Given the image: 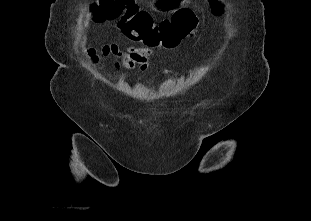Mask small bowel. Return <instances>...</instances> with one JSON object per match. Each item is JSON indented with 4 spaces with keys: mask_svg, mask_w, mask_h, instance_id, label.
<instances>
[{
    "mask_svg": "<svg viewBox=\"0 0 311 221\" xmlns=\"http://www.w3.org/2000/svg\"><path fill=\"white\" fill-rule=\"evenodd\" d=\"M160 10V8H158ZM177 8H175V11ZM108 46H119L116 43H111L105 47L108 51ZM120 59V62H115L116 67H123L131 70L138 66L142 72H146L150 66V59L154 55V50L151 48H136L127 47V53H108Z\"/></svg>",
    "mask_w": 311,
    "mask_h": 221,
    "instance_id": "obj_1",
    "label": "small bowel"
}]
</instances>
